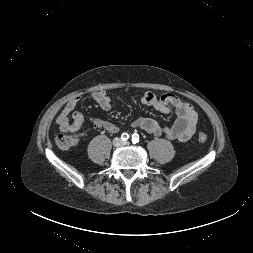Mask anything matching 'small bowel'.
Listing matches in <instances>:
<instances>
[{
	"mask_svg": "<svg viewBox=\"0 0 253 253\" xmlns=\"http://www.w3.org/2000/svg\"><path fill=\"white\" fill-rule=\"evenodd\" d=\"M91 97L104 111L111 109V99L106 91H96ZM79 101V96L70 99L56 119L59 130L71 134V147L79 144V130L84 126V117L76 110ZM141 102L164 114L174 112L176 120L172 126L166 127L152 118L138 117L132 122L133 127L140 128L157 137H165L179 142L188 141L195 133L198 115L190 104L184 102L178 96L172 93L156 96L154 93L147 91L142 94ZM89 125L93 128L104 129L109 133H116L119 129L117 125L99 119H92Z\"/></svg>",
	"mask_w": 253,
	"mask_h": 253,
	"instance_id": "obj_1",
	"label": "small bowel"
}]
</instances>
